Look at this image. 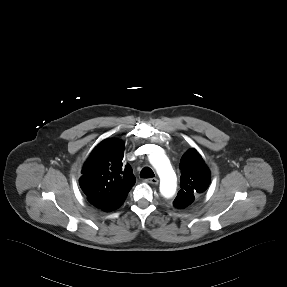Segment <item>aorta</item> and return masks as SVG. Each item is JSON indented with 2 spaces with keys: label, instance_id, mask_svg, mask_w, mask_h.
I'll return each instance as SVG.
<instances>
[{
  "label": "aorta",
  "instance_id": "obj_1",
  "mask_svg": "<svg viewBox=\"0 0 287 287\" xmlns=\"http://www.w3.org/2000/svg\"><path fill=\"white\" fill-rule=\"evenodd\" d=\"M150 163L155 168L160 178V192L166 197H172L176 192V174L166 157L161 151H155L149 156Z\"/></svg>",
  "mask_w": 287,
  "mask_h": 287
}]
</instances>
